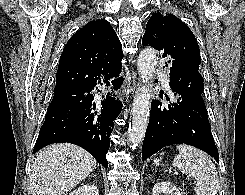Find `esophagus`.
I'll use <instances>...</instances> for the list:
<instances>
[{"label":"esophagus","mask_w":245,"mask_h":195,"mask_svg":"<svg viewBox=\"0 0 245 195\" xmlns=\"http://www.w3.org/2000/svg\"><path fill=\"white\" fill-rule=\"evenodd\" d=\"M133 83L134 84L136 83V75L135 74L133 75Z\"/></svg>","instance_id":"obj_1"}]
</instances>
